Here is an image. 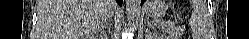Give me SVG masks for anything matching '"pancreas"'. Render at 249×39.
Returning a JSON list of instances; mask_svg holds the SVG:
<instances>
[{"mask_svg":"<svg viewBox=\"0 0 249 39\" xmlns=\"http://www.w3.org/2000/svg\"><path fill=\"white\" fill-rule=\"evenodd\" d=\"M165 31L170 35V36H179L181 34V29L180 28H174V27H170V28H167L165 29Z\"/></svg>","mask_w":249,"mask_h":39,"instance_id":"obj_1","label":"pancreas"}]
</instances>
